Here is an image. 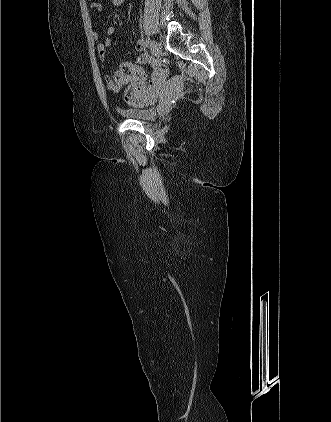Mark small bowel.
I'll return each mask as SVG.
<instances>
[{
	"label": "small bowel",
	"mask_w": 331,
	"mask_h": 422,
	"mask_svg": "<svg viewBox=\"0 0 331 422\" xmlns=\"http://www.w3.org/2000/svg\"><path fill=\"white\" fill-rule=\"evenodd\" d=\"M125 0H110V2L117 6L122 7ZM102 4L98 0H89V10L92 13H99L102 11ZM116 31L114 26H111L107 29L105 38L102 40L101 35L97 31L92 32V38L97 42L96 50L98 53V57L101 61H105L107 55V49L111 46V37ZM136 50L143 51L144 50V43L142 40H138L136 42ZM148 60V55L146 53H142L136 57L135 64L142 65L145 64ZM107 87L112 90L113 92L119 93L121 92L123 86L125 84L116 85L112 82L111 77H107L106 79ZM131 84V83H130ZM135 89L138 90L139 94L148 98L149 102L144 103L143 101L132 102L128 101L130 104L135 106L146 105L154 101V99L158 96V94L163 90V82L162 77L157 76L155 72L153 73V80L147 84L146 76L141 80L134 81L132 83Z\"/></svg>",
	"instance_id": "c3829d8e"
}]
</instances>
